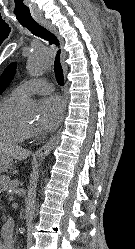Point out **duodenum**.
I'll return each mask as SVG.
<instances>
[{
	"label": "duodenum",
	"instance_id": "410a0bca",
	"mask_svg": "<svg viewBox=\"0 0 135 249\" xmlns=\"http://www.w3.org/2000/svg\"><path fill=\"white\" fill-rule=\"evenodd\" d=\"M10 243L9 242H4L3 243V249H8V248H10Z\"/></svg>",
	"mask_w": 135,
	"mask_h": 249
}]
</instances>
